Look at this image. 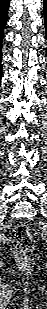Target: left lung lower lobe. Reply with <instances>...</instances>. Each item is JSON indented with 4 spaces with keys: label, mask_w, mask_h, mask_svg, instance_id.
<instances>
[{
    "label": "left lung lower lobe",
    "mask_w": 47,
    "mask_h": 309,
    "mask_svg": "<svg viewBox=\"0 0 47 309\" xmlns=\"http://www.w3.org/2000/svg\"><path fill=\"white\" fill-rule=\"evenodd\" d=\"M43 7H44V19H45L46 33H47V0H44Z\"/></svg>",
    "instance_id": "left-lung-lower-lobe-1"
}]
</instances>
